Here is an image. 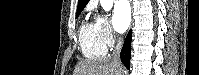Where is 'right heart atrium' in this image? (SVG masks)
Returning <instances> with one entry per match:
<instances>
[{
  "instance_id": "obj_1",
  "label": "right heart atrium",
  "mask_w": 199,
  "mask_h": 75,
  "mask_svg": "<svg viewBox=\"0 0 199 75\" xmlns=\"http://www.w3.org/2000/svg\"><path fill=\"white\" fill-rule=\"evenodd\" d=\"M99 36L106 47H112L118 42V36L113 30L112 24L105 16H98L95 20Z\"/></svg>"
}]
</instances>
